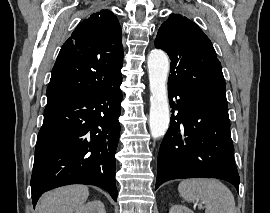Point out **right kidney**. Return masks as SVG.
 Here are the masks:
<instances>
[{"instance_id":"right-kidney-1","label":"right kidney","mask_w":270,"mask_h":213,"mask_svg":"<svg viewBox=\"0 0 270 213\" xmlns=\"http://www.w3.org/2000/svg\"><path fill=\"white\" fill-rule=\"evenodd\" d=\"M75 213H106V211L101 201L94 200L79 207Z\"/></svg>"}]
</instances>
